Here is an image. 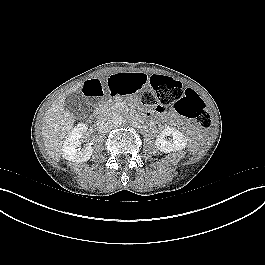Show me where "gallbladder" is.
Returning <instances> with one entry per match:
<instances>
[{"mask_svg":"<svg viewBox=\"0 0 265 265\" xmlns=\"http://www.w3.org/2000/svg\"><path fill=\"white\" fill-rule=\"evenodd\" d=\"M65 109L76 118H85L88 115V102L80 93H70L65 97Z\"/></svg>","mask_w":265,"mask_h":265,"instance_id":"1","label":"gallbladder"}]
</instances>
